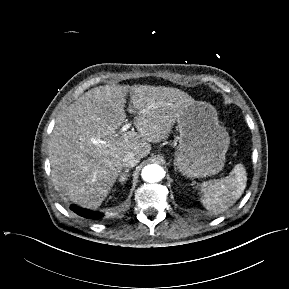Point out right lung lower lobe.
<instances>
[{"label": "right lung lower lobe", "instance_id": "right-lung-lower-lobe-1", "mask_svg": "<svg viewBox=\"0 0 289 289\" xmlns=\"http://www.w3.org/2000/svg\"><path fill=\"white\" fill-rule=\"evenodd\" d=\"M70 209L76 214L82 217L88 218V219H92V220H98L104 216V214L101 212L83 209V208L77 207L76 205H71Z\"/></svg>", "mask_w": 289, "mask_h": 289}]
</instances>
